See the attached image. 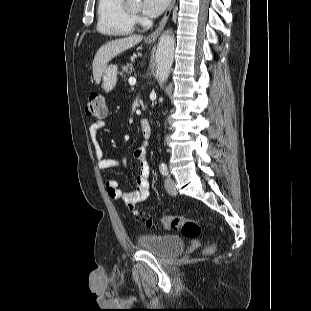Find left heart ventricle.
Wrapping results in <instances>:
<instances>
[{"instance_id":"left-heart-ventricle-1","label":"left heart ventricle","mask_w":311,"mask_h":311,"mask_svg":"<svg viewBox=\"0 0 311 311\" xmlns=\"http://www.w3.org/2000/svg\"><path fill=\"white\" fill-rule=\"evenodd\" d=\"M128 5L133 11L137 12L140 9L141 2L138 0H130Z\"/></svg>"}]
</instances>
